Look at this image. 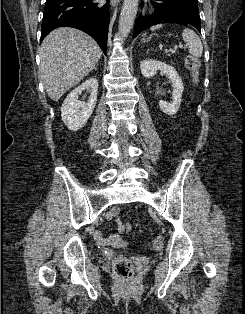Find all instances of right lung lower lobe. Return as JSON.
<instances>
[{"mask_svg": "<svg viewBox=\"0 0 245 314\" xmlns=\"http://www.w3.org/2000/svg\"><path fill=\"white\" fill-rule=\"evenodd\" d=\"M100 5L93 0H46L41 42L57 27H73L92 36L106 54L109 27V0Z\"/></svg>", "mask_w": 245, "mask_h": 314, "instance_id": "98d812e1", "label": "right lung lower lobe"}]
</instances>
